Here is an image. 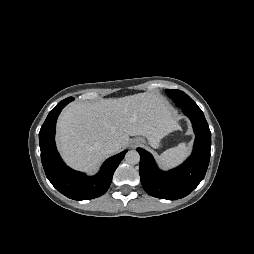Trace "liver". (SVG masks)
I'll list each match as a JSON object with an SVG mask.
<instances>
[{
  "mask_svg": "<svg viewBox=\"0 0 254 254\" xmlns=\"http://www.w3.org/2000/svg\"><path fill=\"white\" fill-rule=\"evenodd\" d=\"M177 128L169 103L153 92L95 103L75 102L61 113L57 123L64 160L87 172L108 157L105 147L111 142H117L120 149L129 144V136H144L157 143Z\"/></svg>",
  "mask_w": 254,
  "mask_h": 254,
  "instance_id": "liver-1",
  "label": "liver"
}]
</instances>
